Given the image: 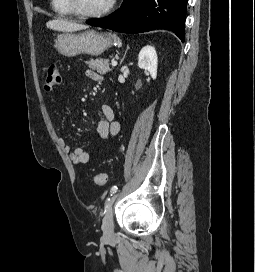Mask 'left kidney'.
<instances>
[{"mask_svg":"<svg viewBox=\"0 0 255 272\" xmlns=\"http://www.w3.org/2000/svg\"><path fill=\"white\" fill-rule=\"evenodd\" d=\"M158 58L154 47L147 45L143 47L138 55V66L148 71L152 79L157 77Z\"/></svg>","mask_w":255,"mask_h":272,"instance_id":"left-kidney-1","label":"left kidney"}]
</instances>
